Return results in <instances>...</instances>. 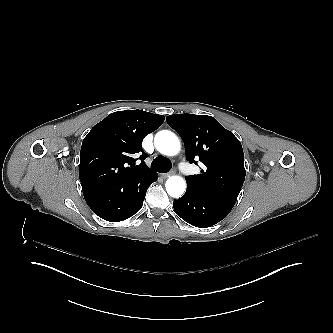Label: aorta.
Here are the masks:
<instances>
[{
	"label": "aorta",
	"instance_id": "obj_1",
	"mask_svg": "<svg viewBox=\"0 0 333 333\" xmlns=\"http://www.w3.org/2000/svg\"><path fill=\"white\" fill-rule=\"evenodd\" d=\"M156 149L167 156L174 157L181 152L178 137L170 131H160L155 136ZM166 191L171 197H180L186 190V181L182 176L174 175L166 181Z\"/></svg>",
	"mask_w": 333,
	"mask_h": 333
}]
</instances>
